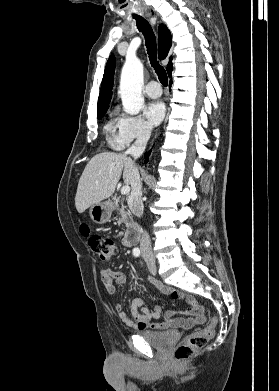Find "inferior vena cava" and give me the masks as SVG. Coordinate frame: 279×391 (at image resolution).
Returning <instances> with one entry per match:
<instances>
[{
  "mask_svg": "<svg viewBox=\"0 0 279 391\" xmlns=\"http://www.w3.org/2000/svg\"><path fill=\"white\" fill-rule=\"evenodd\" d=\"M151 135V128L146 126L139 133L134 144L125 152V155H131L133 158H138L145 151L146 144ZM131 194L128 199V204L131 212L137 216L142 217L144 207L142 202V182L139 171L135 164L132 166L131 176ZM140 250L143 255H152V248L149 235L146 231L141 234Z\"/></svg>",
  "mask_w": 279,
  "mask_h": 391,
  "instance_id": "1",
  "label": "inferior vena cava"
}]
</instances>
